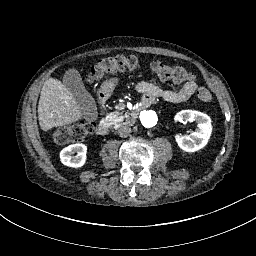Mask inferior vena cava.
I'll return each mask as SVG.
<instances>
[{"mask_svg": "<svg viewBox=\"0 0 256 256\" xmlns=\"http://www.w3.org/2000/svg\"><path fill=\"white\" fill-rule=\"evenodd\" d=\"M131 133V128L129 126H121L118 128V134L120 137H127Z\"/></svg>", "mask_w": 256, "mask_h": 256, "instance_id": "inferior-vena-cava-1", "label": "inferior vena cava"}]
</instances>
